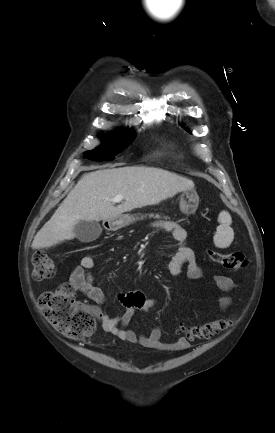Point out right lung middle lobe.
I'll use <instances>...</instances> for the list:
<instances>
[{
  "label": "right lung middle lobe",
  "mask_w": 275,
  "mask_h": 433,
  "mask_svg": "<svg viewBox=\"0 0 275 433\" xmlns=\"http://www.w3.org/2000/svg\"><path fill=\"white\" fill-rule=\"evenodd\" d=\"M134 134L131 132L122 131L119 136L112 137L110 139H106L105 143L92 150L87 152L85 157L89 158L93 161H110L114 159V155L116 154L115 148L118 144L128 143L132 140Z\"/></svg>",
  "instance_id": "1"
}]
</instances>
